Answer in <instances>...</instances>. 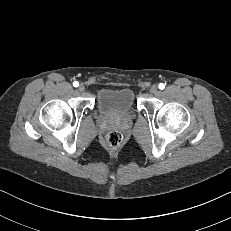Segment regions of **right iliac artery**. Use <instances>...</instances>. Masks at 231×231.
<instances>
[{
    "instance_id": "obj_1",
    "label": "right iliac artery",
    "mask_w": 231,
    "mask_h": 231,
    "mask_svg": "<svg viewBox=\"0 0 231 231\" xmlns=\"http://www.w3.org/2000/svg\"><path fill=\"white\" fill-rule=\"evenodd\" d=\"M73 86H74V87H78V86H79V83H78L77 81H75V82L73 83Z\"/></svg>"
}]
</instances>
